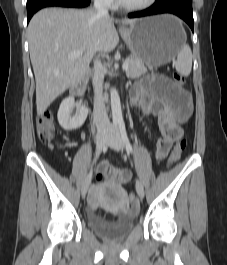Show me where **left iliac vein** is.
<instances>
[{"label":"left iliac vein","instance_id":"1","mask_svg":"<svg viewBox=\"0 0 227 265\" xmlns=\"http://www.w3.org/2000/svg\"><path fill=\"white\" fill-rule=\"evenodd\" d=\"M107 144L116 151H122L124 149V142L117 128L116 129L113 128L111 130L107 138ZM136 191L139 198L143 199L145 192L143 184L140 180L136 181Z\"/></svg>","mask_w":227,"mask_h":265}]
</instances>
